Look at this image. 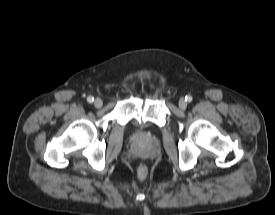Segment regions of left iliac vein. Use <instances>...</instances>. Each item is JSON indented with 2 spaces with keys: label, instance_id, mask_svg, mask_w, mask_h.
I'll use <instances>...</instances> for the list:
<instances>
[{
  "label": "left iliac vein",
  "instance_id": "obj_1",
  "mask_svg": "<svg viewBox=\"0 0 275 215\" xmlns=\"http://www.w3.org/2000/svg\"><path fill=\"white\" fill-rule=\"evenodd\" d=\"M179 107H180L182 110L186 109V107H187V102L185 101L184 98H181V99L179 100Z\"/></svg>",
  "mask_w": 275,
  "mask_h": 215
}]
</instances>
